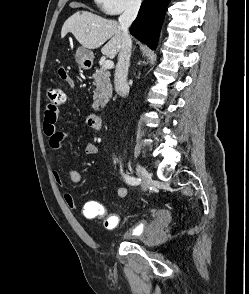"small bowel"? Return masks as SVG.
<instances>
[{"label":"small bowel","instance_id":"c3829d8e","mask_svg":"<svg viewBox=\"0 0 249 294\" xmlns=\"http://www.w3.org/2000/svg\"><path fill=\"white\" fill-rule=\"evenodd\" d=\"M59 76L68 85L71 87L74 86L73 79L67 73L65 75H61L59 72ZM58 119V106H46L42 118V129L48 138L49 148L53 154L61 151L63 140L70 134L69 132H64L58 129ZM86 125L90 128H94L89 116L86 118ZM98 151L99 147L94 142H88L84 147V152L87 155H95L98 153ZM52 158H54V156H52ZM67 176L73 184H80L82 181V176L78 168L68 169ZM52 177L58 186H64L63 176L58 169L54 168L52 170ZM116 194L120 199H124L126 198L128 191L125 187L119 186L116 188ZM64 201L68 208L74 211H79L86 219H102L103 225L106 229H115L119 223V216L117 214H105V212L101 213L99 208L102 206V204L97 201H86L81 209L79 208L74 197L69 193L64 194ZM164 213L165 212L163 210L159 209L155 212V215L158 218L159 216L164 215Z\"/></svg>","mask_w":249,"mask_h":294}]
</instances>
